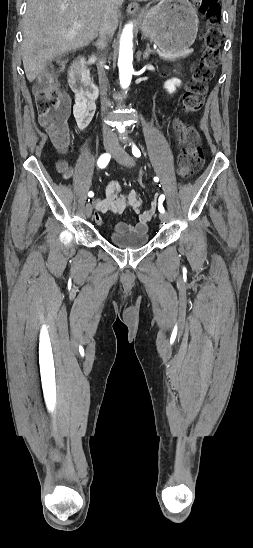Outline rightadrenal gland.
Returning <instances> with one entry per match:
<instances>
[{
  "mask_svg": "<svg viewBox=\"0 0 253 548\" xmlns=\"http://www.w3.org/2000/svg\"><path fill=\"white\" fill-rule=\"evenodd\" d=\"M93 45L97 48V49H103L104 48V44L103 45H100L99 42H96V43H93Z\"/></svg>",
  "mask_w": 253,
  "mask_h": 548,
  "instance_id": "2a0ac1e0",
  "label": "right adrenal gland"
}]
</instances>
